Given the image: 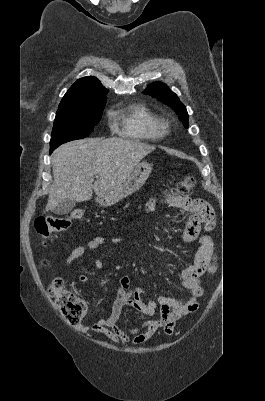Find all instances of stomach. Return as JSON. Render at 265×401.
Listing matches in <instances>:
<instances>
[{
  "mask_svg": "<svg viewBox=\"0 0 265 401\" xmlns=\"http://www.w3.org/2000/svg\"><path fill=\"white\" fill-rule=\"evenodd\" d=\"M151 170L152 164L147 162V160L138 162L125 182H122V184H119V186H116V188L107 192L105 196H99V198H97L98 205H101V207H110V205L122 201V198H126L129 194H133V192H136L140 186H143Z\"/></svg>",
  "mask_w": 265,
  "mask_h": 401,
  "instance_id": "1",
  "label": "stomach"
}]
</instances>
